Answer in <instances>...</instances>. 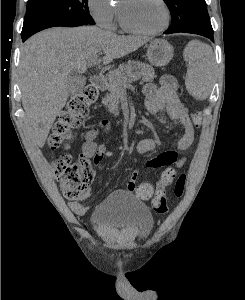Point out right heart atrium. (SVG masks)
<instances>
[{
	"instance_id": "right-heart-atrium-1",
	"label": "right heart atrium",
	"mask_w": 245,
	"mask_h": 300,
	"mask_svg": "<svg viewBox=\"0 0 245 300\" xmlns=\"http://www.w3.org/2000/svg\"><path fill=\"white\" fill-rule=\"evenodd\" d=\"M88 8L99 26L109 30L116 28L118 9L111 0H88Z\"/></svg>"
}]
</instances>
